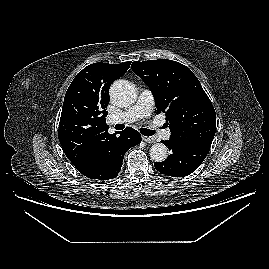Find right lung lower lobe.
<instances>
[{
    "mask_svg": "<svg viewBox=\"0 0 269 269\" xmlns=\"http://www.w3.org/2000/svg\"><path fill=\"white\" fill-rule=\"evenodd\" d=\"M119 134L86 162L74 165L76 169L94 180L104 181L117 177L126 151L141 142L140 133L131 127Z\"/></svg>",
    "mask_w": 269,
    "mask_h": 269,
    "instance_id": "98d812e1",
    "label": "right lung lower lobe"
}]
</instances>
